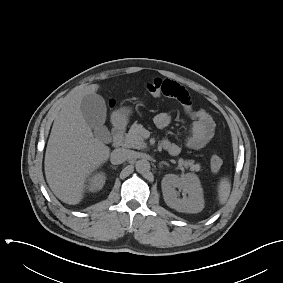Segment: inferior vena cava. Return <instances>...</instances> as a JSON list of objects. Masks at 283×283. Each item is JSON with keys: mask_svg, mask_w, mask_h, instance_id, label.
Instances as JSON below:
<instances>
[{"mask_svg": "<svg viewBox=\"0 0 283 283\" xmlns=\"http://www.w3.org/2000/svg\"><path fill=\"white\" fill-rule=\"evenodd\" d=\"M133 155L134 152L132 150L118 148L111 153L110 161L112 164L118 165L133 158Z\"/></svg>", "mask_w": 283, "mask_h": 283, "instance_id": "inferior-vena-cava-1", "label": "inferior vena cava"}]
</instances>
